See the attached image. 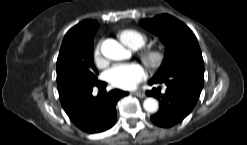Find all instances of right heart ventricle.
<instances>
[{
	"instance_id": "e07e8e85",
	"label": "right heart ventricle",
	"mask_w": 247,
	"mask_h": 145,
	"mask_svg": "<svg viewBox=\"0 0 247 145\" xmlns=\"http://www.w3.org/2000/svg\"><path fill=\"white\" fill-rule=\"evenodd\" d=\"M120 40L129 47H141L145 44L147 37L145 34L134 29H125L118 34Z\"/></svg>"
}]
</instances>
